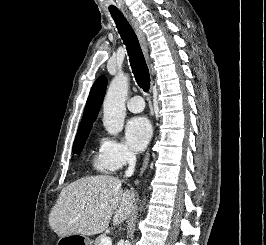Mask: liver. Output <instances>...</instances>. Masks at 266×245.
<instances>
[{"label": "liver", "instance_id": "6515ba94", "mask_svg": "<svg viewBox=\"0 0 266 245\" xmlns=\"http://www.w3.org/2000/svg\"><path fill=\"white\" fill-rule=\"evenodd\" d=\"M131 191H123L117 177H83L62 189L49 215V225L58 237L99 235L113 225H121L132 213ZM104 205L105 209H102Z\"/></svg>", "mask_w": 266, "mask_h": 245}]
</instances>
